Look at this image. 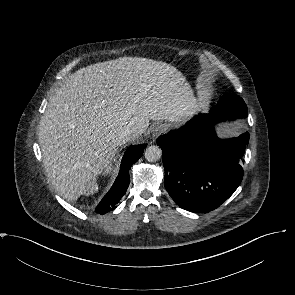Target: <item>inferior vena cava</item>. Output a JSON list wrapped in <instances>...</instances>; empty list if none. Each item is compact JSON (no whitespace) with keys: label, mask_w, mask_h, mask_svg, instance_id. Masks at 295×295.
I'll list each match as a JSON object with an SVG mask.
<instances>
[{"label":"inferior vena cava","mask_w":295,"mask_h":295,"mask_svg":"<svg viewBox=\"0 0 295 295\" xmlns=\"http://www.w3.org/2000/svg\"><path fill=\"white\" fill-rule=\"evenodd\" d=\"M137 135L136 130L134 129H126L124 130L115 140V144L117 146H121L128 142L129 140L133 139Z\"/></svg>","instance_id":"inferior-vena-cava-1"}]
</instances>
